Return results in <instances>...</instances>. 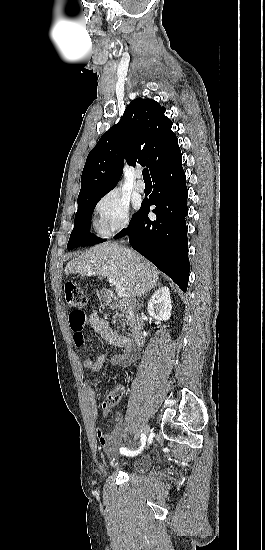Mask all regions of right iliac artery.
<instances>
[{"instance_id": "1", "label": "right iliac artery", "mask_w": 265, "mask_h": 550, "mask_svg": "<svg viewBox=\"0 0 265 550\" xmlns=\"http://www.w3.org/2000/svg\"><path fill=\"white\" fill-rule=\"evenodd\" d=\"M145 444H146V436L144 434H141V446L138 450L130 451V450H127V448L122 447V448H120V452L122 454L136 455V454L140 453V451L144 448Z\"/></svg>"}]
</instances>
